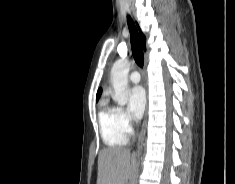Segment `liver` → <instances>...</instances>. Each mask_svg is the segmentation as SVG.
Segmentation results:
<instances>
[{"label": "liver", "mask_w": 235, "mask_h": 184, "mask_svg": "<svg viewBox=\"0 0 235 184\" xmlns=\"http://www.w3.org/2000/svg\"><path fill=\"white\" fill-rule=\"evenodd\" d=\"M136 160L127 148H104L98 156L97 184H127Z\"/></svg>", "instance_id": "liver-1"}]
</instances>
